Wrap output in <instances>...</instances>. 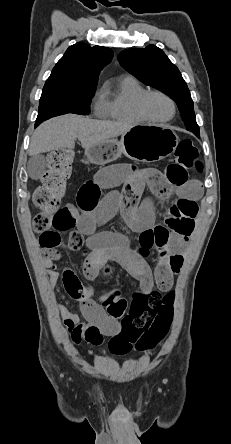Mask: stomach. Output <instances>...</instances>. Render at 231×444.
I'll return each instance as SVG.
<instances>
[{
    "label": "stomach",
    "instance_id": "stomach-1",
    "mask_svg": "<svg viewBox=\"0 0 231 444\" xmlns=\"http://www.w3.org/2000/svg\"><path fill=\"white\" fill-rule=\"evenodd\" d=\"M178 141L176 133L167 126L136 125L123 134L120 141L110 139L87 149L86 163L103 165L122 154L136 161L155 162L170 156Z\"/></svg>",
    "mask_w": 231,
    "mask_h": 444
}]
</instances>
